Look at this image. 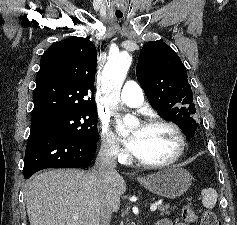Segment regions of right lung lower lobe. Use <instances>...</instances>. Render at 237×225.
<instances>
[{"mask_svg": "<svg viewBox=\"0 0 237 225\" xmlns=\"http://www.w3.org/2000/svg\"><path fill=\"white\" fill-rule=\"evenodd\" d=\"M97 143L85 142L64 134L33 129L25 152L24 178L46 168H77L88 165Z\"/></svg>", "mask_w": 237, "mask_h": 225, "instance_id": "right-lung-lower-lobe-1", "label": "right lung lower lobe"}]
</instances>
